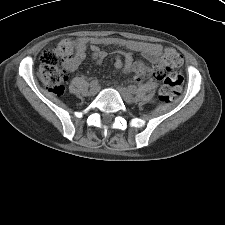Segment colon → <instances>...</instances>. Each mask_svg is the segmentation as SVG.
I'll list each match as a JSON object with an SVG mask.
<instances>
[{"instance_id": "5ec220e1", "label": "colon", "mask_w": 225, "mask_h": 225, "mask_svg": "<svg viewBox=\"0 0 225 225\" xmlns=\"http://www.w3.org/2000/svg\"><path fill=\"white\" fill-rule=\"evenodd\" d=\"M75 60V45L71 39H62L53 47L45 49L39 59L38 76L46 89L54 95L64 92L67 75L63 66ZM183 62L182 56L174 49H166L160 64L153 67H143L135 78L142 81L152 75L163 84L158 92L162 103H170L177 97L183 87V77L174 68Z\"/></svg>"}]
</instances>
